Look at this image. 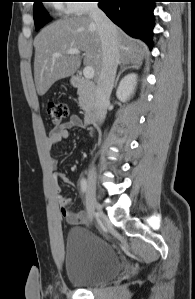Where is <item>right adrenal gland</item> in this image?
<instances>
[{
    "mask_svg": "<svg viewBox=\"0 0 195 299\" xmlns=\"http://www.w3.org/2000/svg\"><path fill=\"white\" fill-rule=\"evenodd\" d=\"M140 65H141V63L132 64V65H128V64L123 63V64L121 65V70L119 71V73H118V75H117V77H116V79H115L113 88H115V87L117 86L119 77H120V75H121L124 71H126L127 69H139Z\"/></svg>",
    "mask_w": 195,
    "mask_h": 299,
    "instance_id": "obj_1",
    "label": "right adrenal gland"
}]
</instances>
